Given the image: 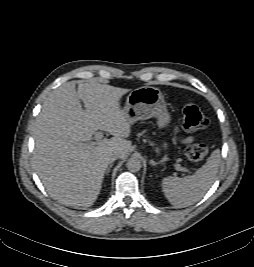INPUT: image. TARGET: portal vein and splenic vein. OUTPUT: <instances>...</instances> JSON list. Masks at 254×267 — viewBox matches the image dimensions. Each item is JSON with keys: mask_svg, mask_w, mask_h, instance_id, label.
I'll return each mask as SVG.
<instances>
[{"mask_svg": "<svg viewBox=\"0 0 254 267\" xmlns=\"http://www.w3.org/2000/svg\"><path fill=\"white\" fill-rule=\"evenodd\" d=\"M102 138H103V133L101 131H98V132L95 133V142L100 141ZM174 167H175V169L177 171H182V172H186L187 171L186 168L181 167L179 164H175Z\"/></svg>", "mask_w": 254, "mask_h": 267, "instance_id": "obj_1", "label": "portal vein and splenic vein"}]
</instances>
